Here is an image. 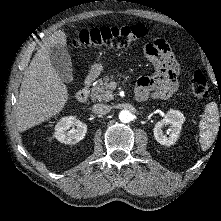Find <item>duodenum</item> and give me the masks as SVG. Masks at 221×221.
<instances>
[{
	"mask_svg": "<svg viewBox=\"0 0 221 221\" xmlns=\"http://www.w3.org/2000/svg\"><path fill=\"white\" fill-rule=\"evenodd\" d=\"M95 78H96V75L93 73H90L86 76L82 88L78 91L76 95V98L79 102L84 103L88 100L89 93H90V86L92 82L95 80ZM136 98L139 101L144 100V98L138 94H136Z\"/></svg>",
	"mask_w": 221,
	"mask_h": 221,
	"instance_id": "1",
	"label": "duodenum"
}]
</instances>
